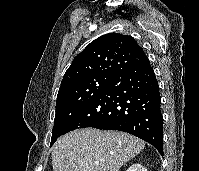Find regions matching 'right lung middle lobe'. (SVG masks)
Wrapping results in <instances>:
<instances>
[{
  "label": "right lung middle lobe",
  "instance_id": "right-lung-middle-lobe-1",
  "mask_svg": "<svg viewBox=\"0 0 199 171\" xmlns=\"http://www.w3.org/2000/svg\"><path fill=\"white\" fill-rule=\"evenodd\" d=\"M114 77L113 75L94 76L57 97L55 122L50 146L62 135V132L80 108L90 101Z\"/></svg>",
  "mask_w": 199,
  "mask_h": 171
}]
</instances>
